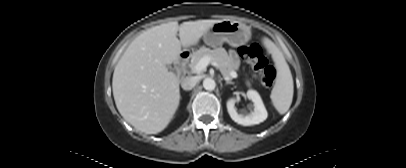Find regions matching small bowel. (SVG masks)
I'll use <instances>...</instances> for the list:
<instances>
[{"label":"small bowel","instance_id":"1","mask_svg":"<svg viewBox=\"0 0 406 168\" xmlns=\"http://www.w3.org/2000/svg\"><path fill=\"white\" fill-rule=\"evenodd\" d=\"M229 57L232 62L236 63L237 62V53L234 50H231L229 52Z\"/></svg>","mask_w":406,"mask_h":168}]
</instances>
